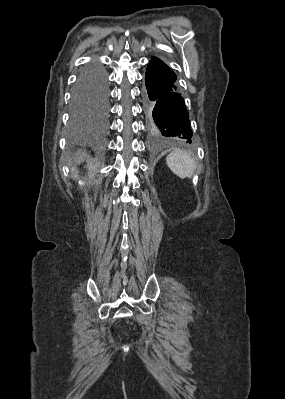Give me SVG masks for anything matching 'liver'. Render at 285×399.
<instances>
[{"mask_svg":"<svg viewBox=\"0 0 285 399\" xmlns=\"http://www.w3.org/2000/svg\"><path fill=\"white\" fill-rule=\"evenodd\" d=\"M76 156H77V157H74V159H75L78 163H80L81 160L83 159V157L86 156V154H85V153L78 152V153L76 154Z\"/></svg>","mask_w":285,"mask_h":399,"instance_id":"obj_1","label":"liver"}]
</instances>
